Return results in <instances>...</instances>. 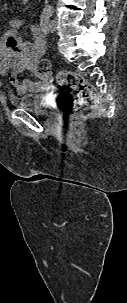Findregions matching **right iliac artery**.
<instances>
[{"instance_id": "82829eb1", "label": "right iliac artery", "mask_w": 127, "mask_h": 303, "mask_svg": "<svg viewBox=\"0 0 127 303\" xmlns=\"http://www.w3.org/2000/svg\"><path fill=\"white\" fill-rule=\"evenodd\" d=\"M40 24L44 34H48L50 30V16H41Z\"/></svg>"}]
</instances>
